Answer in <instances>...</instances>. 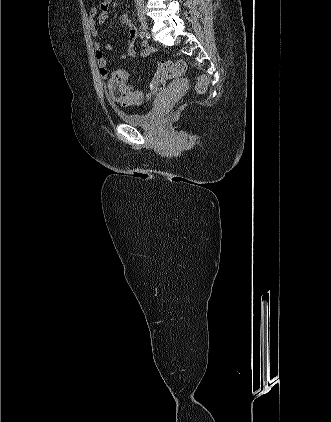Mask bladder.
<instances>
[{
	"instance_id": "31cf9c89",
	"label": "bladder",
	"mask_w": 331,
	"mask_h": 422,
	"mask_svg": "<svg viewBox=\"0 0 331 422\" xmlns=\"http://www.w3.org/2000/svg\"><path fill=\"white\" fill-rule=\"evenodd\" d=\"M162 97H158L151 109L145 112H125L119 111L120 118L127 124L142 128H151L156 124L159 105Z\"/></svg>"
}]
</instances>
